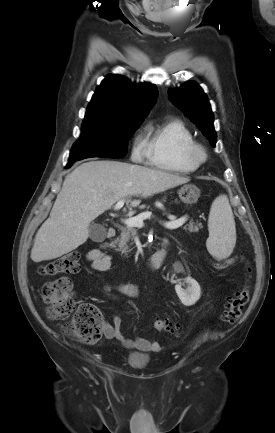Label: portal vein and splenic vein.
Returning a JSON list of instances; mask_svg holds the SVG:
<instances>
[{"instance_id": "1", "label": "portal vein and splenic vein", "mask_w": 275, "mask_h": 433, "mask_svg": "<svg viewBox=\"0 0 275 433\" xmlns=\"http://www.w3.org/2000/svg\"><path fill=\"white\" fill-rule=\"evenodd\" d=\"M124 203H125L124 199L118 201L115 204L114 209L115 210L121 209L124 206ZM150 217H151V213L145 212L136 217L125 219L124 224L130 227H142L144 225L143 221ZM185 222H186V217H182L179 219L171 218L170 221L164 223V227L168 229H176L181 227Z\"/></svg>"}]
</instances>
